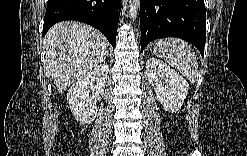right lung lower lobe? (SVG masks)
I'll list each match as a JSON object with an SVG mask.
<instances>
[{"mask_svg":"<svg viewBox=\"0 0 247 156\" xmlns=\"http://www.w3.org/2000/svg\"><path fill=\"white\" fill-rule=\"evenodd\" d=\"M121 6V0H48L43 36L57 22L76 20L101 31L114 48Z\"/></svg>","mask_w":247,"mask_h":156,"instance_id":"98d812e1","label":"right lung lower lobe"}]
</instances>
